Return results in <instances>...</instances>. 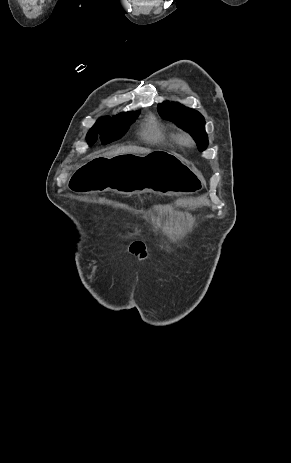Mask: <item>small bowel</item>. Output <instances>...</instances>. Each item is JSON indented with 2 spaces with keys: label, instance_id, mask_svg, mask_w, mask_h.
<instances>
[{
  "label": "small bowel",
  "instance_id": "obj_1",
  "mask_svg": "<svg viewBox=\"0 0 291 463\" xmlns=\"http://www.w3.org/2000/svg\"><path fill=\"white\" fill-rule=\"evenodd\" d=\"M130 251L139 259H144L147 255L146 245L140 239H136L130 244Z\"/></svg>",
  "mask_w": 291,
  "mask_h": 463
}]
</instances>
